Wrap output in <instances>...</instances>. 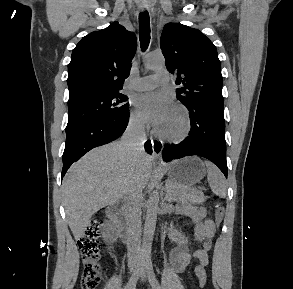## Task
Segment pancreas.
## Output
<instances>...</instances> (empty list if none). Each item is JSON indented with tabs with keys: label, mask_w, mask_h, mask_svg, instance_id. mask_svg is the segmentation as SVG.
I'll return each mask as SVG.
<instances>
[{
	"label": "pancreas",
	"mask_w": 293,
	"mask_h": 289,
	"mask_svg": "<svg viewBox=\"0 0 293 289\" xmlns=\"http://www.w3.org/2000/svg\"><path fill=\"white\" fill-rule=\"evenodd\" d=\"M203 192L197 188L170 182L166 188V199L169 202L202 204L206 200Z\"/></svg>",
	"instance_id": "pancreas-1"
}]
</instances>
